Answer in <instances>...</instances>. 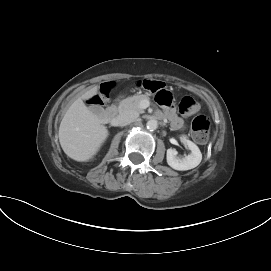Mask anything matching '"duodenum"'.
<instances>
[{
    "label": "duodenum",
    "mask_w": 271,
    "mask_h": 271,
    "mask_svg": "<svg viewBox=\"0 0 271 271\" xmlns=\"http://www.w3.org/2000/svg\"><path fill=\"white\" fill-rule=\"evenodd\" d=\"M117 113V109L115 107H109L106 111L105 118L108 122H113Z\"/></svg>",
    "instance_id": "410a0bca"
}]
</instances>
